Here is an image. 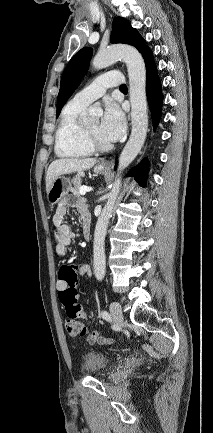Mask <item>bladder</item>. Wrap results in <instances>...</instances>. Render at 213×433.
Instances as JSON below:
<instances>
[{"mask_svg": "<svg viewBox=\"0 0 213 433\" xmlns=\"http://www.w3.org/2000/svg\"><path fill=\"white\" fill-rule=\"evenodd\" d=\"M109 366L107 357L99 351H90L83 356L82 369L89 374H99Z\"/></svg>", "mask_w": 213, "mask_h": 433, "instance_id": "bladder-1", "label": "bladder"}]
</instances>
